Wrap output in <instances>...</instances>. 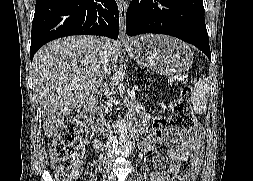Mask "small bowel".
<instances>
[{
  "mask_svg": "<svg viewBox=\"0 0 253 181\" xmlns=\"http://www.w3.org/2000/svg\"><path fill=\"white\" fill-rule=\"evenodd\" d=\"M98 148V143H95ZM158 147H165L169 163L166 166ZM145 149L152 153L153 167L157 172L153 181H172V176L180 174L182 181H194L203 161V146L200 131L183 139L172 128H166L165 120L157 118L153 124Z\"/></svg>",
  "mask_w": 253,
  "mask_h": 181,
  "instance_id": "1",
  "label": "small bowel"
}]
</instances>
